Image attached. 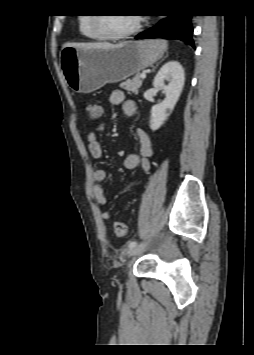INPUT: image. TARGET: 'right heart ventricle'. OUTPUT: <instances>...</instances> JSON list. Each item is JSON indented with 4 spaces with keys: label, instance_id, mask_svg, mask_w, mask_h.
<instances>
[{
    "label": "right heart ventricle",
    "instance_id": "obj_1",
    "mask_svg": "<svg viewBox=\"0 0 254 355\" xmlns=\"http://www.w3.org/2000/svg\"><path fill=\"white\" fill-rule=\"evenodd\" d=\"M80 33L89 40H101L102 38L95 32L93 28L92 16H81L79 18Z\"/></svg>",
    "mask_w": 254,
    "mask_h": 355
}]
</instances>
